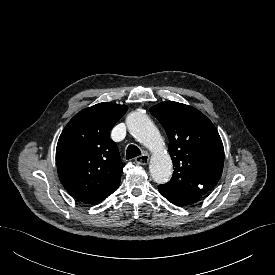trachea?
I'll use <instances>...</instances> for the list:
<instances>
[{
	"instance_id": "trachea-1",
	"label": "trachea",
	"mask_w": 275,
	"mask_h": 275,
	"mask_svg": "<svg viewBox=\"0 0 275 275\" xmlns=\"http://www.w3.org/2000/svg\"><path fill=\"white\" fill-rule=\"evenodd\" d=\"M141 155L140 149L135 145H129L126 150V159H132Z\"/></svg>"
}]
</instances>
